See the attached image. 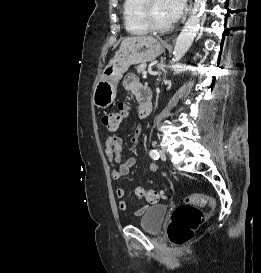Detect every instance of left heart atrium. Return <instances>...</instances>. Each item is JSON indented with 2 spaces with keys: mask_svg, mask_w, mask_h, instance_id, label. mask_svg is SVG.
<instances>
[{
  "mask_svg": "<svg viewBox=\"0 0 261 273\" xmlns=\"http://www.w3.org/2000/svg\"><path fill=\"white\" fill-rule=\"evenodd\" d=\"M172 22L176 21L183 14L185 0H166Z\"/></svg>",
  "mask_w": 261,
  "mask_h": 273,
  "instance_id": "left-heart-atrium-1",
  "label": "left heart atrium"
}]
</instances>
